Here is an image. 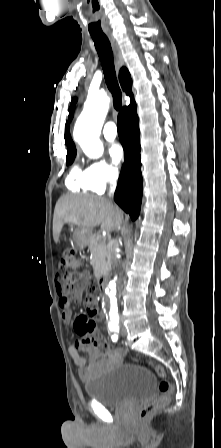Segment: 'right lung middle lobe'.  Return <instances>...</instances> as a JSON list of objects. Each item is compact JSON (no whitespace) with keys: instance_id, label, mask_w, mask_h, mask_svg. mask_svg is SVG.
I'll list each match as a JSON object with an SVG mask.
<instances>
[{"instance_id":"1","label":"right lung middle lobe","mask_w":221,"mask_h":448,"mask_svg":"<svg viewBox=\"0 0 221 448\" xmlns=\"http://www.w3.org/2000/svg\"><path fill=\"white\" fill-rule=\"evenodd\" d=\"M75 156H76V153L67 154V164H72V162L74 161Z\"/></svg>"}]
</instances>
